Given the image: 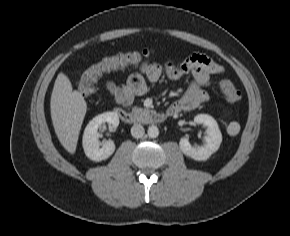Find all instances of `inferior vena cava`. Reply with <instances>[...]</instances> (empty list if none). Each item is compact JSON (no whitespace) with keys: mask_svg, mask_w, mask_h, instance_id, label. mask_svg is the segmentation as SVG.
Here are the masks:
<instances>
[{"mask_svg":"<svg viewBox=\"0 0 290 236\" xmlns=\"http://www.w3.org/2000/svg\"><path fill=\"white\" fill-rule=\"evenodd\" d=\"M145 133L144 127L140 124H135L131 128V135L134 138H141Z\"/></svg>","mask_w":290,"mask_h":236,"instance_id":"1","label":"inferior vena cava"}]
</instances>
